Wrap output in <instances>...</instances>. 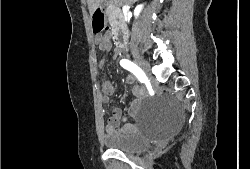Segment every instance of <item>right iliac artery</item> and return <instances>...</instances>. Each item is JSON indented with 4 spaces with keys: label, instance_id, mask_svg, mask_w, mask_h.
Instances as JSON below:
<instances>
[{
    "label": "right iliac artery",
    "instance_id": "82829eb1",
    "mask_svg": "<svg viewBox=\"0 0 250 169\" xmlns=\"http://www.w3.org/2000/svg\"><path fill=\"white\" fill-rule=\"evenodd\" d=\"M120 65L128 71L132 72L141 83H145L147 81V76L145 75L144 71L133 62L127 59H122L120 61Z\"/></svg>",
    "mask_w": 250,
    "mask_h": 169
}]
</instances>
